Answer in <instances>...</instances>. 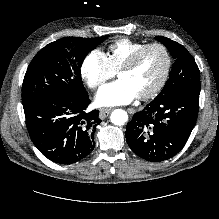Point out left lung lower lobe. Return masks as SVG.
<instances>
[{
	"instance_id": "1",
	"label": "left lung lower lobe",
	"mask_w": 219,
	"mask_h": 219,
	"mask_svg": "<svg viewBox=\"0 0 219 219\" xmlns=\"http://www.w3.org/2000/svg\"><path fill=\"white\" fill-rule=\"evenodd\" d=\"M200 87H187L154 99L127 124L126 140L143 159L158 162L175 156L186 144L199 109Z\"/></svg>"
}]
</instances>
